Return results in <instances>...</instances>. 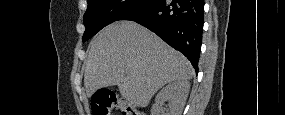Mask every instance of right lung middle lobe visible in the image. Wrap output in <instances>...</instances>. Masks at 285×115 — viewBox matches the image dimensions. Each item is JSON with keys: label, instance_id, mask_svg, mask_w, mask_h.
Wrapping results in <instances>:
<instances>
[{"label": "right lung middle lobe", "instance_id": "dd1d6c3e", "mask_svg": "<svg viewBox=\"0 0 285 115\" xmlns=\"http://www.w3.org/2000/svg\"><path fill=\"white\" fill-rule=\"evenodd\" d=\"M154 0H88L83 21L86 27L82 41H87L108 24L121 20Z\"/></svg>", "mask_w": 285, "mask_h": 115}]
</instances>
